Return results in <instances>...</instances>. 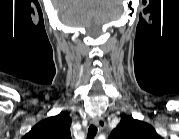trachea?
I'll return each instance as SVG.
<instances>
[{"instance_id":"3493384b","label":"trachea","mask_w":179,"mask_h":139,"mask_svg":"<svg viewBox=\"0 0 179 139\" xmlns=\"http://www.w3.org/2000/svg\"><path fill=\"white\" fill-rule=\"evenodd\" d=\"M97 133V127L91 125L88 129L87 139H93Z\"/></svg>"}]
</instances>
